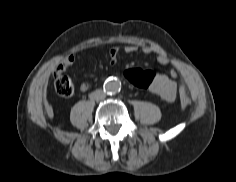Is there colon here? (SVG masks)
Masks as SVG:
<instances>
[{"label": "colon", "instance_id": "colon-1", "mask_svg": "<svg viewBox=\"0 0 236 182\" xmlns=\"http://www.w3.org/2000/svg\"><path fill=\"white\" fill-rule=\"evenodd\" d=\"M124 76L134 87L148 89L153 81L154 73L141 68H129L125 71ZM55 87L56 91L62 96H69L73 92V84L61 71L55 76ZM180 91L182 94L185 93V89L182 85H180Z\"/></svg>", "mask_w": 236, "mask_h": 182}]
</instances>
